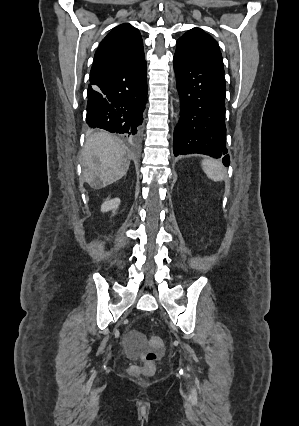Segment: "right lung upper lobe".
Masks as SVG:
<instances>
[{"label":"right lung upper lobe","mask_w":299,"mask_h":426,"mask_svg":"<svg viewBox=\"0 0 299 426\" xmlns=\"http://www.w3.org/2000/svg\"><path fill=\"white\" fill-rule=\"evenodd\" d=\"M144 61L140 33L128 23L115 27L100 43L94 56L91 73L136 65Z\"/></svg>","instance_id":"cb5924a9"}]
</instances>
